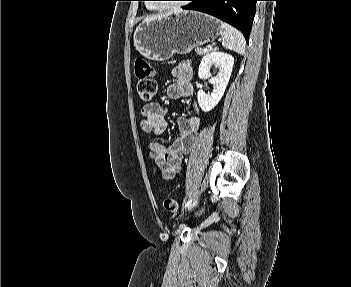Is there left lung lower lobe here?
I'll use <instances>...</instances> for the list:
<instances>
[{
    "label": "left lung lower lobe",
    "mask_w": 351,
    "mask_h": 287,
    "mask_svg": "<svg viewBox=\"0 0 351 287\" xmlns=\"http://www.w3.org/2000/svg\"><path fill=\"white\" fill-rule=\"evenodd\" d=\"M187 10H196L238 28L248 42L258 0H190Z\"/></svg>",
    "instance_id": "0a47b994"
}]
</instances>
